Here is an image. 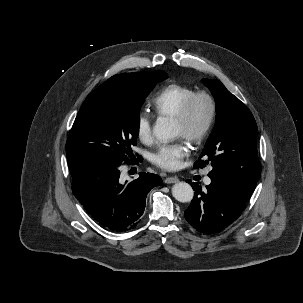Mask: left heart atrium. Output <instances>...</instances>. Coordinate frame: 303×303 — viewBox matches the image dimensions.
Instances as JSON below:
<instances>
[{
	"label": "left heart atrium",
	"mask_w": 303,
	"mask_h": 303,
	"mask_svg": "<svg viewBox=\"0 0 303 303\" xmlns=\"http://www.w3.org/2000/svg\"><path fill=\"white\" fill-rule=\"evenodd\" d=\"M187 154V145L182 140H179L175 143L160 145L151 154V161L162 169L175 170L180 167L182 159Z\"/></svg>",
	"instance_id": "1"
}]
</instances>
